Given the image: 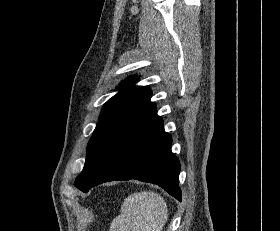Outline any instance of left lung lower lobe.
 I'll return each instance as SVG.
<instances>
[{
    "label": "left lung lower lobe",
    "mask_w": 280,
    "mask_h": 231,
    "mask_svg": "<svg viewBox=\"0 0 280 231\" xmlns=\"http://www.w3.org/2000/svg\"><path fill=\"white\" fill-rule=\"evenodd\" d=\"M171 142L155 110L114 135L97 154L77 188L88 192L104 182L137 179L157 184L181 201L180 163L171 152Z\"/></svg>",
    "instance_id": "left-lung-lower-lobe-1"
}]
</instances>
